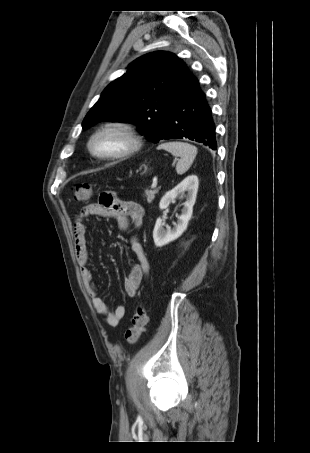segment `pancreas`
<instances>
[{
  "label": "pancreas",
  "mask_w": 310,
  "mask_h": 453,
  "mask_svg": "<svg viewBox=\"0 0 310 453\" xmlns=\"http://www.w3.org/2000/svg\"><path fill=\"white\" fill-rule=\"evenodd\" d=\"M158 193V190H145L144 197L146 198L148 203H152L153 200L155 199V195Z\"/></svg>",
  "instance_id": "pancreas-1"
}]
</instances>
